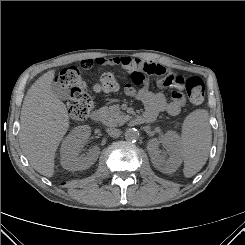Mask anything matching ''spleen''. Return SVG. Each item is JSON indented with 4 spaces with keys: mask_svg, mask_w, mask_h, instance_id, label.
Wrapping results in <instances>:
<instances>
[{
    "mask_svg": "<svg viewBox=\"0 0 245 245\" xmlns=\"http://www.w3.org/2000/svg\"><path fill=\"white\" fill-rule=\"evenodd\" d=\"M206 110L198 109L184 120L181 134L184 175L189 178L205 165L211 147L212 134Z\"/></svg>",
    "mask_w": 245,
    "mask_h": 245,
    "instance_id": "1",
    "label": "spleen"
}]
</instances>
